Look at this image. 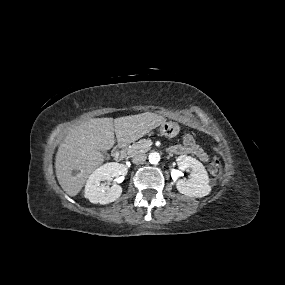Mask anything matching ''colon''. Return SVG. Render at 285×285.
Returning <instances> with one entry per match:
<instances>
[{
    "label": "colon",
    "mask_w": 285,
    "mask_h": 285,
    "mask_svg": "<svg viewBox=\"0 0 285 285\" xmlns=\"http://www.w3.org/2000/svg\"><path fill=\"white\" fill-rule=\"evenodd\" d=\"M182 143L184 146L188 148L193 147L195 144V138H194L193 132L191 131L184 132ZM210 172L213 176H216V177L220 176L222 173V165L217 156L213 157L211 161Z\"/></svg>",
    "instance_id": "1"
}]
</instances>
